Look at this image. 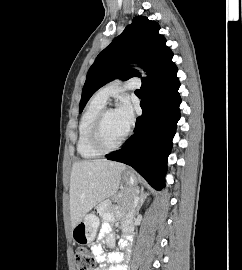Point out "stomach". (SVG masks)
I'll list each match as a JSON object with an SVG mask.
<instances>
[{"label": "stomach", "instance_id": "stomach-1", "mask_svg": "<svg viewBox=\"0 0 242 270\" xmlns=\"http://www.w3.org/2000/svg\"><path fill=\"white\" fill-rule=\"evenodd\" d=\"M122 179L132 191H137L139 181L134 173L130 171L124 172ZM98 226L99 218L97 216L93 214L86 215L72 228L71 237L79 245L90 244L96 237Z\"/></svg>", "mask_w": 242, "mask_h": 270}]
</instances>
